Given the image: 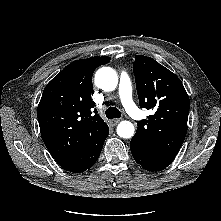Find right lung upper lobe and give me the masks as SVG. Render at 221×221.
Returning a JSON list of instances; mask_svg holds the SVG:
<instances>
[{"label": "right lung upper lobe", "instance_id": "1", "mask_svg": "<svg viewBox=\"0 0 221 221\" xmlns=\"http://www.w3.org/2000/svg\"><path fill=\"white\" fill-rule=\"evenodd\" d=\"M110 57H91L67 65L45 87L37 117L42 139L58 164L66 161L107 124L93 111L94 70ZM94 112V113H93Z\"/></svg>", "mask_w": 221, "mask_h": 221}]
</instances>
